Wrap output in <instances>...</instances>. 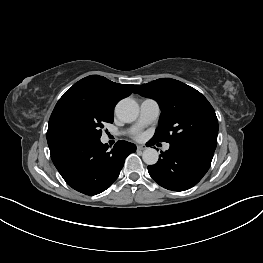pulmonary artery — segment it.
Instances as JSON below:
<instances>
[{"instance_id":"1","label":"pulmonary artery","mask_w":263,"mask_h":263,"mask_svg":"<svg viewBox=\"0 0 263 263\" xmlns=\"http://www.w3.org/2000/svg\"><path fill=\"white\" fill-rule=\"evenodd\" d=\"M160 115L159 104L153 99H144L140 103V113L137 122L132 128V131L135 132L148 124L154 122ZM170 147L169 144L164 145V150H168Z\"/></svg>"}]
</instances>
